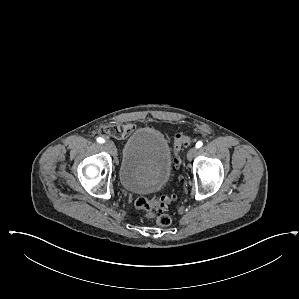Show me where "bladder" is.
<instances>
[{
    "instance_id": "31cf9c89",
    "label": "bladder",
    "mask_w": 299,
    "mask_h": 299,
    "mask_svg": "<svg viewBox=\"0 0 299 299\" xmlns=\"http://www.w3.org/2000/svg\"><path fill=\"white\" fill-rule=\"evenodd\" d=\"M171 172V150L159 130L140 128L127 138L119 165V182L125 190L154 192L168 181Z\"/></svg>"
}]
</instances>
